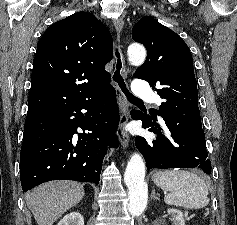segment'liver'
Masks as SVG:
<instances>
[{"mask_svg":"<svg viewBox=\"0 0 237 225\" xmlns=\"http://www.w3.org/2000/svg\"><path fill=\"white\" fill-rule=\"evenodd\" d=\"M83 184L72 181H51L26 194V203L38 225H53L84 196Z\"/></svg>","mask_w":237,"mask_h":225,"instance_id":"liver-1","label":"liver"}]
</instances>
